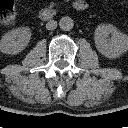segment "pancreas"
<instances>
[{
    "label": "pancreas",
    "mask_w": 128,
    "mask_h": 128,
    "mask_svg": "<svg viewBox=\"0 0 128 128\" xmlns=\"http://www.w3.org/2000/svg\"><path fill=\"white\" fill-rule=\"evenodd\" d=\"M53 5H54V4H53V3H51L50 7H53Z\"/></svg>",
    "instance_id": "obj_1"
}]
</instances>
